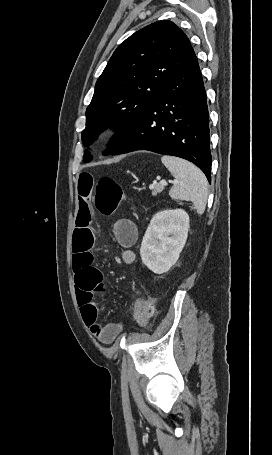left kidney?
<instances>
[{
	"mask_svg": "<svg viewBox=\"0 0 272 455\" xmlns=\"http://www.w3.org/2000/svg\"><path fill=\"white\" fill-rule=\"evenodd\" d=\"M189 230V216L182 209L156 213L145 232L140 255L154 273L163 274L177 262Z\"/></svg>",
	"mask_w": 272,
	"mask_h": 455,
	"instance_id": "5707ae66",
	"label": "left kidney"
}]
</instances>
